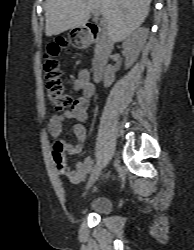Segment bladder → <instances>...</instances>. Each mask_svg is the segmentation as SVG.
<instances>
[{
  "mask_svg": "<svg viewBox=\"0 0 194 250\" xmlns=\"http://www.w3.org/2000/svg\"><path fill=\"white\" fill-rule=\"evenodd\" d=\"M112 209L111 200L106 196L96 197L89 204V210L97 214H107Z\"/></svg>",
  "mask_w": 194,
  "mask_h": 250,
  "instance_id": "31cf9c89",
  "label": "bladder"
}]
</instances>
